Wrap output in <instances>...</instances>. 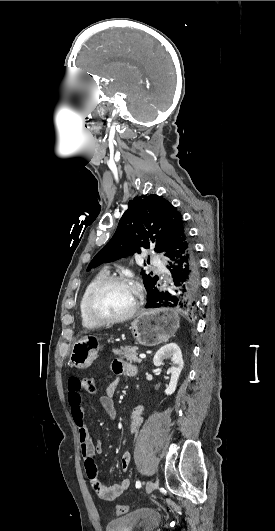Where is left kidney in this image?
Wrapping results in <instances>:
<instances>
[{"mask_svg": "<svg viewBox=\"0 0 275 531\" xmlns=\"http://www.w3.org/2000/svg\"><path fill=\"white\" fill-rule=\"evenodd\" d=\"M169 357L172 361L173 367L168 369V373H171V379L166 391H164L165 395H173V393H175L178 379L184 365L180 347H178L176 343H169V345H164V347H161V349L157 351L153 359L155 367L163 365V359H169Z\"/></svg>", "mask_w": 275, "mask_h": 531, "instance_id": "1", "label": "left kidney"}]
</instances>
